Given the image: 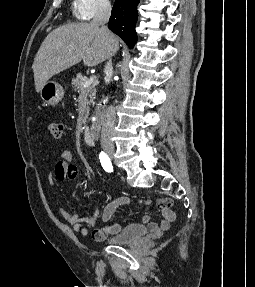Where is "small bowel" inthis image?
Returning a JSON list of instances; mask_svg holds the SVG:
<instances>
[{"instance_id":"c3829d8e","label":"small bowel","mask_w":255,"mask_h":287,"mask_svg":"<svg viewBox=\"0 0 255 287\" xmlns=\"http://www.w3.org/2000/svg\"><path fill=\"white\" fill-rule=\"evenodd\" d=\"M60 157L61 159L56 163L54 172L48 177L50 186L54 185L55 180H73L78 176L77 167L70 164V160L72 158L71 153L64 150L61 152ZM131 202L132 200L128 197L115 199L114 201L108 203L102 211L100 209H96L89 217L73 213L62 207L59 208V212L62 217L70 223L72 230L81 236H86L88 234V229L84 226V224L94 226L101 218L103 225L100 228H95L92 232V236L95 240L102 241L107 236L113 235L121 229L119 224L111 223L113 214L118 208L128 205ZM138 202L151 204L162 215V219L159 222L150 221V217L148 215H143L141 217L140 221L143 224L148 225L149 231L156 235H162L164 232L169 230L172 222H174L176 219V215L171 209L173 202L170 198L165 197L154 202L147 200H138Z\"/></svg>"}]
</instances>
